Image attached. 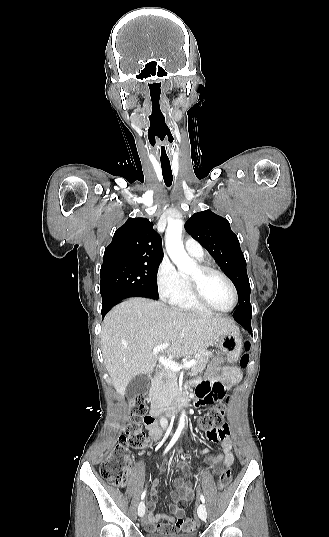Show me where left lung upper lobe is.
Returning <instances> with one entry per match:
<instances>
[{
  "mask_svg": "<svg viewBox=\"0 0 329 537\" xmlns=\"http://www.w3.org/2000/svg\"><path fill=\"white\" fill-rule=\"evenodd\" d=\"M186 228L207 249L235 285L239 304L233 316L252 314L246 261L229 222L206 210L193 214L186 222Z\"/></svg>",
  "mask_w": 329,
  "mask_h": 537,
  "instance_id": "left-lung-upper-lobe-1",
  "label": "left lung upper lobe"
}]
</instances>
